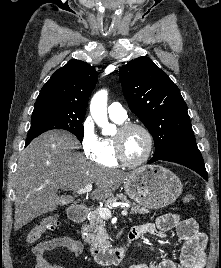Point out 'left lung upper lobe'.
I'll use <instances>...</instances> for the list:
<instances>
[{"instance_id":"obj_1","label":"left lung upper lobe","mask_w":221,"mask_h":268,"mask_svg":"<svg viewBox=\"0 0 221 268\" xmlns=\"http://www.w3.org/2000/svg\"><path fill=\"white\" fill-rule=\"evenodd\" d=\"M119 79L130 110L154 138L153 157L195 141L187 105L178 87L150 58L139 57L124 65Z\"/></svg>"}]
</instances>
